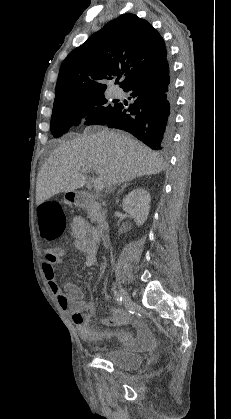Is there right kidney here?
<instances>
[{"label": "right kidney", "instance_id": "ca27d5eb", "mask_svg": "<svg viewBox=\"0 0 231 419\" xmlns=\"http://www.w3.org/2000/svg\"><path fill=\"white\" fill-rule=\"evenodd\" d=\"M150 194L143 188H136L123 198V210L130 214L138 226L147 220L150 209Z\"/></svg>", "mask_w": 231, "mask_h": 419}]
</instances>
